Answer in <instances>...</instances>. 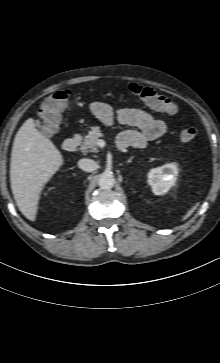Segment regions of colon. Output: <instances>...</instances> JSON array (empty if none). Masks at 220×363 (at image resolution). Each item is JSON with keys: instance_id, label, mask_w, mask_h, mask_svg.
Masks as SVG:
<instances>
[{"instance_id": "5ec220e1", "label": "colon", "mask_w": 220, "mask_h": 363, "mask_svg": "<svg viewBox=\"0 0 220 363\" xmlns=\"http://www.w3.org/2000/svg\"><path fill=\"white\" fill-rule=\"evenodd\" d=\"M129 91L148 106L164 111L168 114H176L179 110L175 101L152 88L131 84ZM71 92L59 90L49 94L44 100L40 109V127L43 133L52 135L59 129L63 111L68 105ZM198 135V130L192 126L182 127L179 133L183 142L193 141Z\"/></svg>"}]
</instances>
